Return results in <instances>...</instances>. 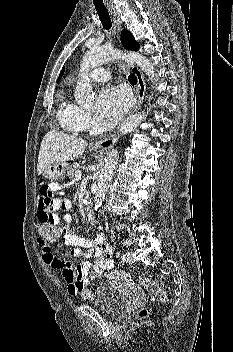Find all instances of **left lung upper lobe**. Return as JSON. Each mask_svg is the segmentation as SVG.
Listing matches in <instances>:
<instances>
[{
  "mask_svg": "<svg viewBox=\"0 0 233 352\" xmlns=\"http://www.w3.org/2000/svg\"><path fill=\"white\" fill-rule=\"evenodd\" d=\"M121 43L128 50L137 51L140 48L139 43L135 41L133 35L126 29L121 32Z\"/></svg>",
  "mask_w": 233,
  "mask_h": 352,
  "instance_id": "5c2ea615",
  "label": "left lung upper lobe"
}]
</instances>
